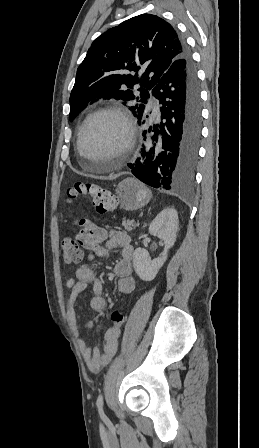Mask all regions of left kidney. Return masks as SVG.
<instances>
[{"label":"left kidney","instance_id":"5707ae66","mask_svg":"<svg viewBox=\"0 0 259 448\" xmlns=\"http://www.w3.org/2000/svg\"><path fill=\"white\" fill-rule=\"evenodd\" d=\"M178 214L174 208H165L150 224L149 234L157 236L165 244L164 252L160 258L151 260L147 250L144 248H136L133 254L134 270L144 282H151L157 276L160 268L167 260L169 248H172L176 242V234L178 232Z\"/></svg>","mask_w":259,"mask_h":448}]
</instances>
